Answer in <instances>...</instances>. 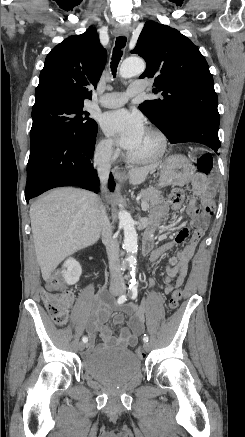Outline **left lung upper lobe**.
Returning <instances> with one entry per match:
<instances>
[{
	"mask_svg": "<svg viewBox=\"0 0 245 437\" xmlns=\"http://www.w3.org/2000/svg\"><path fill=\"white\" fill-rule=\"evenodd\" d=\"M147 68L140 78H154L153 93L161 99L146 100L139 109L171 139L189 114L219 122L213 77L204 56L190 39L167 25L145 23L136 47Z\"/></svg>",
	"mask_w": 245,
	"mask_h": 437,
	"instance_id": "obj_1",
	"label": "left lung upper lobe"
}]
</instances>
